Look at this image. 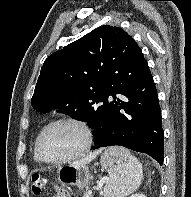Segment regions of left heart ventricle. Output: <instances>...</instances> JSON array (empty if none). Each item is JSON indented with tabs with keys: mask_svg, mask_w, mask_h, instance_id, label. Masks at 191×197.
I'll use <instances>...</instances> for the list:
<instances>
[{
	"mask_svg": "<svg viewBox=\"0 0 191 197\" xmlns=\"http://www.w3.org/2000/svg\"><path fill=\"white\" fill-rule=\"evenodd\" d=\"M84 144L82 130L71 123H61L50 127L42 136L40 147L45 158L58 160L68 157Z\"/></svg>",
	"mask_w": 191,
	"mask_h": 197,
	"instance_id": "obj_1",
	"label": "left heart ventricle"
}]
</instances>
